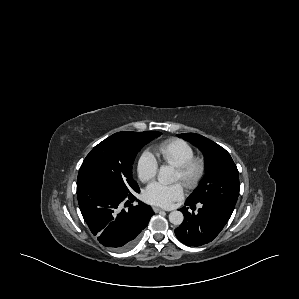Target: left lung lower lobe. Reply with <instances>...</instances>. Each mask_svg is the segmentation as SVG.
Segmentation results:
<instances>
[{"instance_id":"obj_1","label":"left lung lower lobe","mask_w":299,"mask_h":299,"mask_svg":"<svg viewBox=\"0 0 299 299\" xmlns=\"http://www.w3.org/2000/svg\"><path fill=\"white\" fill-rule=\"evenodd\" d=\"M185 205L195 206L188 200ZM180 211L184 214V221L175 229V234L178 240L187 246H201L211 242L221 232L232 214V211L212 202L202 203V208L198 209L197 214L189 213L186 207Z\"/></svg>"}]
</instances>
